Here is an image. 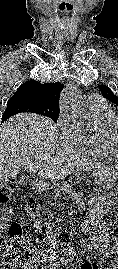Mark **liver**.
<instances>
[{
  "mask_svg": "<svg viewBox=\"0 0 118 269\" xmlns=\"http://www.w3.org/2000/svg\"><path fill=\"white\" fill-rule=\"evenodd\" d=\"M58 145V130L51 119L33 113L8 119L0 126V181L15 178L20 167L56 179L68 176L73 168L87 171L100 166Z\"/></svg>",
  "mask_w": 118,
  "mask_h": 269,
  "instance_id": "1",
  "label": "liver"
}]
</instances>
